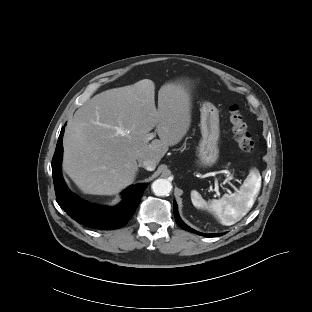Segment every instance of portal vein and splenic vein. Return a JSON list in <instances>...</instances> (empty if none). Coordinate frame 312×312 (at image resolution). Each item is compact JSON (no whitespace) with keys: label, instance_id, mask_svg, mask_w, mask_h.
Wrapping results in <instances>:
<instances>
[{"label":"portal vein and splenic vein","instance_id":"18ae733b","mask_svg":"<svg viewBox=\"0 0 312 312\" xmlns=\"http://www.w3.org/2000/svg\"><path fill=\"white\" fill-rule=\"evenodd\" d=\"M121 134H124L123 132H120ZM155 137V133H149L146 135V141H150Z\"/></svg>","mask_w":312,"mask_h":312}]
</instances>
